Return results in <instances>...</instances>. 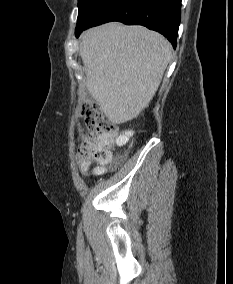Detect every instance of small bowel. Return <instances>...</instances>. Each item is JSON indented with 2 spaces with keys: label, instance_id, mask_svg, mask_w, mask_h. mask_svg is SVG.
<instances>
[{
  "label": "small bowel",
  "instance_id": "obj_1",
  "mask_svg": "<svg viewBox=\"0 0 233 284\" xmlns=\"http://www.w3.org/2000/svg\"><path fill=\"white\" fill-rule=\"evenodd\" d=\"M119 163V160L115 161V164ZM90 165L82 162V161H79V168H80V171L83 175H86L88 170L90 169ZM93 171L95 174H103L107 171V167L105 166H97V167H94L93 168Z\"/></svg>",
  "mask_w": 233,
  "mask_h": 284
}]
</instances>
